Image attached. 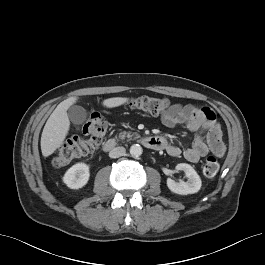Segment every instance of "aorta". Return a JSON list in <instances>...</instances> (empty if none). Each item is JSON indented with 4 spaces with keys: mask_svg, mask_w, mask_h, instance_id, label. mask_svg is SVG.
<instances>
[{
    "mask_svg": "<svg viewBox=\"0 0 265 265\" xmlns=\"http://www.w3.org/2000/svg\"><path fill=\"white\" fill-rule=\"evenodd\" d=\"M142 152H143V149L139 144H133L130 147V154L133 157H139L142 154Z\"/></svg>",
    "mask_w": 265,
    "mask_h": 265,
    "instance_id": "obj_1",
    "label": "aorta"
}]
</instances>
